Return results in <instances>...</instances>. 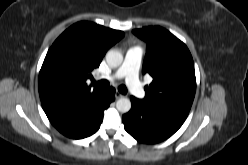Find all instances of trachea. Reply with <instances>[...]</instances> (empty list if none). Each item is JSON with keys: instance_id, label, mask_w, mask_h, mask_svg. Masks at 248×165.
<instances>
[{"instance_id": "obj_1", "label": "trachea", "mask_w": 248, "mask_h": 165, "mask_svg": "<svg viewBox=\"0 0 248 165\" xmlns=\"http://www.w3.org/2000/svg\"><path fill=\"white\" fill-rule=\"evenodd\" d=\"M94 83L97 84V85H99V86H101V87H108L110 85L109 81H107V80H100V81L94 82ZM118 90L122 94H126L127 93V88L124 85H120L118 87Z\"/></svg>"}]
</instances>
